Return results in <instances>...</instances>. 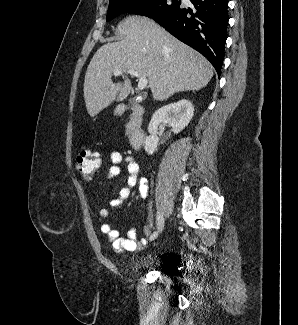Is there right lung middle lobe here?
<instances>
[{"label": "right lung middle lobe", "instance_id": "right-lung-middle-lobe-1", "mask_svg": "<svg viewBox=\"0 0 298 325\" xmlns=\"http://www.w3.org/2000/svg\"><path fill=\"white\" fill-rule=\"evenodd\" d=\"M178 0H114L109 3L106 21H110L122 13L145 15L153 18L163 12L179 8Z\"/></svg>", "mask_w": 298, "mask_h": 325}]
</instances>
